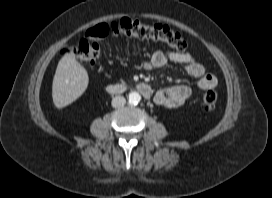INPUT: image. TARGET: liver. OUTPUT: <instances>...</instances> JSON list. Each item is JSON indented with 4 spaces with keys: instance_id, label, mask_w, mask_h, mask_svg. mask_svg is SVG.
<instances>
[{
    "instance_id": "liver-1",
    "label": "liver",
    "mask_w": 272,
    "mask_h": 198,
    "mask_svg": "<svg viewBox=\"0 0 272 198\" xmlns=\"http://www.w3.org/2000/svg\"><path fill=\"white\" fill-rule=\"evenodd\" d=\"M88 73L73 54L64 55L56 68L52 83L55 107L63 108L79 98L88 86Z\"/></svg>"
}]
</instances>
